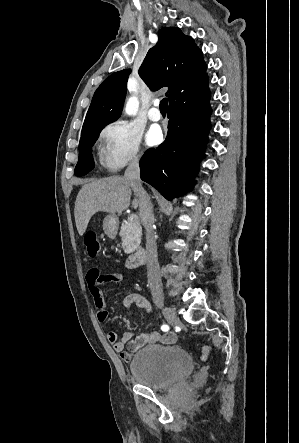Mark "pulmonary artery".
Instances as JSON below:
<instances>
[{
  "instance_id": "e3ab8cb5",
  "label": "pulmonary artery",
  "mask_w": 299,
  "mask_h": 443,
  "mask_svg": "<svg viewBox=\"0 0 299 443\" xmlns=\"http://www.w3.org/2000/svg\"><path fill=\"white\" fill-rule=\"evenodd\" d=\"M158 106H159V101L158 100H154L153 101V106L148 111V117L152 121H159L161 119V113H160V111L158 109Z\"/></svg>"
}]
</instances>
